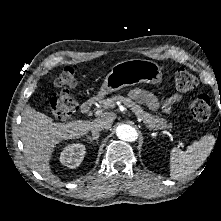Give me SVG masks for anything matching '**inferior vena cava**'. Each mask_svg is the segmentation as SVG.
I'll use <instances>...</instances> for the list:
<instances>
[{"instance_id": "inferior-vena-cava-1", "label": "inferior vena cava", "mask_w": 221, "mask_h": 221, "mask_svg": "<svg viewBox=\"0 0 221 221\" xmlns=\"http://www.w3.org/2000/svg\"><path fill=\"white\" fill-rule=\"evenodd\" d=\"M105 129V124L104 123H98L95 124L92 128H91V132L93 135L98 134L99 131Z\"/></svg>"}]
</instances>
